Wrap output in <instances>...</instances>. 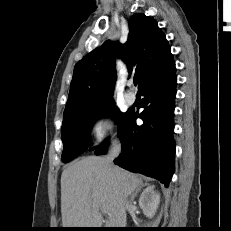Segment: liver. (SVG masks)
I'll list each match as a JSON object with an SVG mask.
<instances>
[{
  "label": "liver",
  "mask_w": 231,
  "mask_h": 231,
  "mask_svg": "<svg viewBox=\"0 0 231 231\" xmlns=\"http://www.w3.org/2000/svg\"><path fill=\"white\" fill-rule=\"evenodd\" d=\"M142 180L105 157L88 156L65 168L61 175L63 228H124L126 204ZM102 213L108 215L104 221Z\"/></svg>",
  "instance_id": "obj_1"
}]
</instances>
